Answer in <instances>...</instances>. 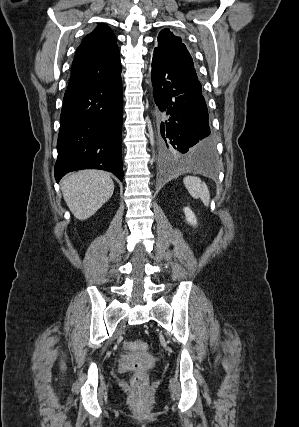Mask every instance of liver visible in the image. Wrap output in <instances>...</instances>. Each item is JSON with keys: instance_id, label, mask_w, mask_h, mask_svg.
Here are the masks:
<instances>
[{"instance_id": "1", "label": "liver", "mask_w": 299, "mask_h": 427, "mask_svg": "<svg viewBox=\"0 0 299 427\" xmlns=\"http://www.w3.org/2000/svg\"><path fill=\"white\" fill-rule=\"evenodd\" d=\"M61 190L72 214L79 220H86L111 198L114 183L106 172L81 170L65 177Z\"/></svg>"}]
</instances>
